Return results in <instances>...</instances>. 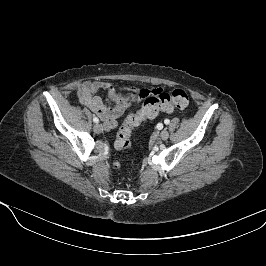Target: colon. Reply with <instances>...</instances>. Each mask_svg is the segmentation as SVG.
Masks as SVG:
<instances>
[{
    "mask_svg": "<svg viewBox=\"0 0 266 266\" xmlns=\"http://www.w3.org/2000/svg\"><path fill=\"white\" fill-rule=\"evenodd\" d=\"M188 104V95L182 89H175L171 92L158 90L146 94L143 97L141 109L134 114H130L121 126L115 141V148L118 150L129 149L131 146V131L142 121L154 118L161 111L169 112L175 108L185 109ZM112 167L118 170L120 169V163L114 161Z\"/></svg>",
    "mask_w": 266,
    "mask_h": 266,
    "instance_id": "5ec220e1",
    "label": "colon"
}]
</instances>
